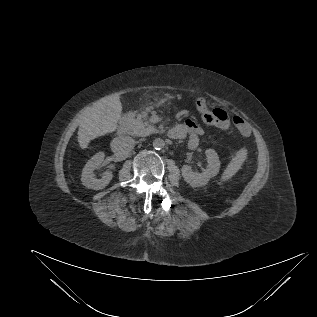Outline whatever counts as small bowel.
I'll list each match as a JSON object with an SVG mask.
<instances>
[{"instance_id":"1","label":"small bowel","mask_w":317,"mask_h":317,"mask_svg":"<svg viewBox=\"0 0 317 317\" xmlns=\"http://www.w3.org/2000/svg\"><path fill=\"white\" fill-rule=\"evenodd\" d=\"M233 122L242 135L248 136L250 134V127L242 117L234 116ZM228 124L229 118L228 116H226L224 122L222 124H219V126L221 128H225L228 126ZM202 134V127L190 119L186 120L184 124L173 127L169 132L170 137L173 139H182L188 137L190 146L197 145L198 139Z\"/></svg>"}]
</instances>
